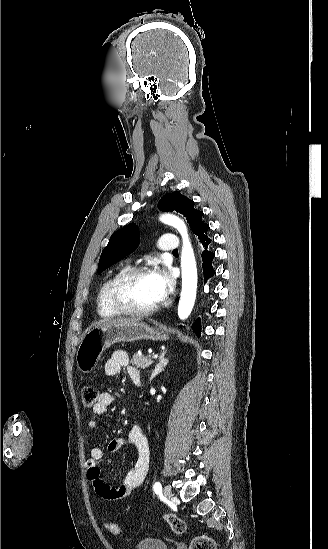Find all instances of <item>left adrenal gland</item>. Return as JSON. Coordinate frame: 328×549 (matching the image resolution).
<instances>
[{"label":"left adrenal gland","mask_w":328,"mask_h":549,"mask_svg":"<svg viewBox=\"0 0 328 549\" xmlns=\"http://www.w3.org/2000/svg\"><path fill=\"white\" fill-rule=\"evenodd\" d=\"M165 353H167V349H165V351L161 353L159 363L158 365H156L152 373V377H155V375H158V373H161V371H164L166 365H168V359H165Z\"/></svg>","instance_id":"left-adrenal-gland-1"}]
</instances>
